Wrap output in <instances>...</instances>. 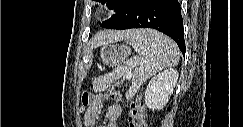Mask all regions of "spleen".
<instances>
[{"label": "spleen", "instance_id": "spleen-1", "mask_svg": "<svg viewBox=\"0 0 243 127\" xmlns=\"http://www.w3.org/2000/svg\"><path fill=\"white\" fill-rule=\"evenodd\" d=\"M125 41L137 52V56L128 59L124 66L94 79V91H104L122 76L132 77V86L126 97H132L140 86L151 76L166 67L177 65L179 52L176 44L164 34L151 30H136ZM134 74L131 75V70Z\"/></svg>", "mask_w": 243, "mask_h": 127}]
</instances>
